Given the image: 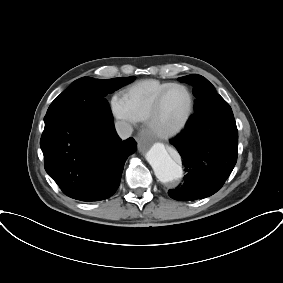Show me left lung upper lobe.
<instances>
[{"label": "left lung upper lobe", "mask_w": 283, "mask_h": 283, "mask_svg": "<svg viewBox=\"0 0 283 283\" xmlns=\"http://www.w3.org/2000/svg\"><path fill=\"white\" fill-rule=\"evenodd\" d=\"M181 82L193 85V94L197 97L195 101V108L197 106H206L219 94L216 92L214 86L201 75H188L180 77ZM231 121L228 123L226 130H222L215 134L218 138L238 140V130L236 127L233 112L230 114Z\"/></svg>", "instance_id": "obj_1"}]
</instances>
